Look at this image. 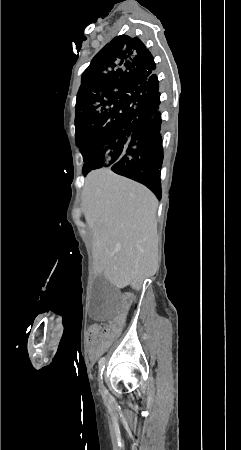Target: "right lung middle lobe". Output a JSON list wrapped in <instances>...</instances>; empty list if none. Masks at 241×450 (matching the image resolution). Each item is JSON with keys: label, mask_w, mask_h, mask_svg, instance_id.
Wrapping results in <instances>:
<instances>
[{"label": "right lung middle lobe", "mask_w": 241, "mask_h": 450, "mask_svg": "<svg viewBox=\"0 0 241 450\" xmlns=\"http://www.w3.org/2000/svg\"><path fill=\"white\" fill-rule=\"evenodd\" d=\"M145 99L123 96L114 85L82 82L76 101V140L83 154V174L112 167L143 140L131 131L112 135L127 123L141 116Z\"/></svg>", "instance_id": "right-lung-middle-lobe-1"}]
</instances>
